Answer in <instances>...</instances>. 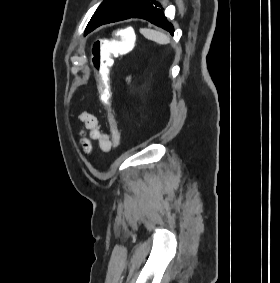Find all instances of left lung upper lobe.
Here are the masks:
<instances>
[{
  "label": "left lung upper lobe",
  "instance_id": "obj_1",
  "mask_svg": "<svg viewBox=\"0 0 280 283\" xmlns=\"http://www.w3.org/2000/svg\"><path fill=\"white\" fill-rule=\"evenodd\" d=\"M146 2L147 0H104L89 21L85 34L93 31L107 20L132 15Z\"/></svg>",
  "mask_w": 280,
  "mask_h": 283
}]
</instances>
